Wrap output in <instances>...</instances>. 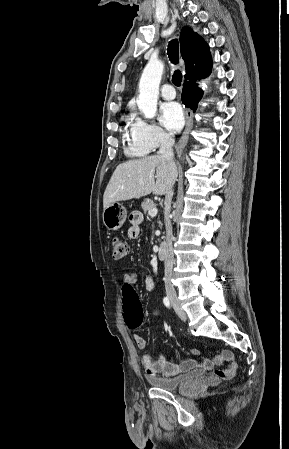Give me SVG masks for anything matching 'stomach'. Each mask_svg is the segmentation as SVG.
<instances>
[{
	"mask_svg": "<svg viewBox=\"0 0 289 449\" xmlns=\"http://www.w3.org/2000/svg\"><path fill=\"white\" fill-rule=\"evenodd\" d=\"M103 223L108 230L120 229L127 218L126 208L118 203L114 202L103 210Z\"/></svg>",
	"mask_w": 289,
	"mask_h": 449,
	"instance_id": "1",
	"label": "stomach"
}]
</instances>
